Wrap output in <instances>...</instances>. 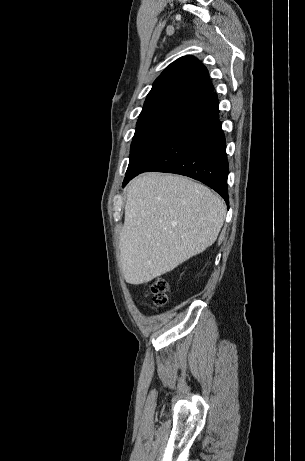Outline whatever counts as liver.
<instances>
[{
	"label": "liver",
	"mask_w": 305,
	"mask_h": 461,
	"mask_svg": "<svg viewBox=\"0 0 305 461\" xmlns=\"http://www.w3.org/2000/svg\"><path fill=\"white\" fill-rule=\"evenodd\" d=\"M226 206L206 186L151 172L127 187L120 263L127 283L139 285L172 271L211 246Z\"/></svg>",
	"instance_id": "liver-1"
}]
</instances>
